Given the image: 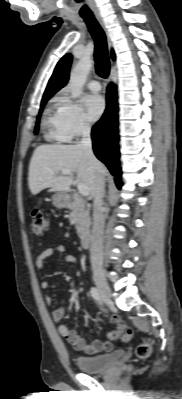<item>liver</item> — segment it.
I'll return each instance as SVG.
<instances>
[{
  "label": "liver",
  "mask_w": 182,
  "mask_h": 399,
  "mask_svg": "<svg viewBox=\"0 0 182 399\" xmlns=\"http://www.w3.org/2000/svg\"><path fill=\"white\" fill-rule=\"evenodd\" d=\"M62 170L77 174L93 196L96 175H106V167L97 160L96 164L78 145L45 144L38 146L29 165L28 183L33 195L46 188L50 192H69L73 183L71 175H59Z\"/></svg>",
  "instance_id": "obj_1"
}]
</instances>
